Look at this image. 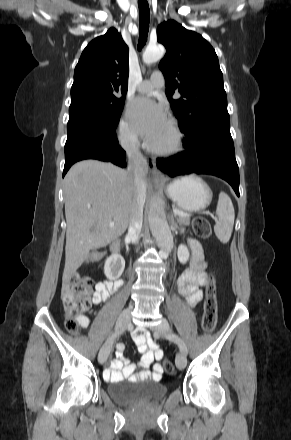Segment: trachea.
Masks as SVG:
<instances>
[{
    "instance_id": "1",
    "label": "trachea",
    "mask_w": 291,
    "mask_h": 440,
    "mask_svg": "<svg viewBox=\"0 0 291 440\" xmlns=\"http://www.w3.org/2000/svg\"><path fill=\"white\" fill-rule=\"evenodd\" d=\"M139 7V42L138 49L141 50L147 41L150 21V10L146 0H138Z\"/></svg>"
}]
</instances>
